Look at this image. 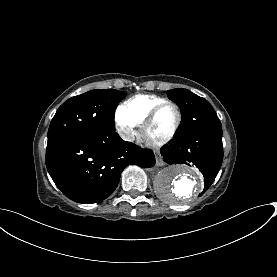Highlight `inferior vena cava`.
I'll use <instances>...</instances> for the list:
<instances>
[{
  "label": "inferior vena cava",
  "mask_w": 277,
  "mask_h": 277,
  "mask_svg": "<svg viewBox=\"0 0 277 277\" xmlns=\"http://www.w3.org/2000/svg\"><path fill=\"white\" fill-rule=\"evenodd\" d=\"M120 137L123 138V139H127V140H131L132 139L130 134H124L122 132L120 134Z\"/></svg>",
  "instance_id": "1"
}]
</instances>
